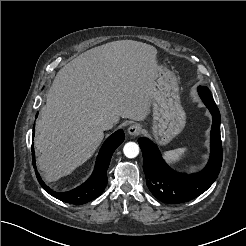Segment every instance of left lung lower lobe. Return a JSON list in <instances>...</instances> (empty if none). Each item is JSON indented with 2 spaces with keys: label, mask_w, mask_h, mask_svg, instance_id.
Here are the masks:
<instances>
[{
  "label": "left lung lower lobe",
  "mask_w": 246,
  "mask_h": 246,
  "mask_svg": "<svg viewBox=\"0 0 246 246\" xmlns=\"http://www.w3.org/2000/svg\"><path fill=\"white\" fill-rule=\"evenodd\" d=\"M198 93L213 117L210 159L201 172L192 175L174 172L163 161L155 144L147 138L138 140L147 186L158 200L165 203L176 204L196 198L213 184L221 169L220 112L207 87L199 86Z\"/></svg>",
  "instance_id": "0a47b994"
}]
</instances>
